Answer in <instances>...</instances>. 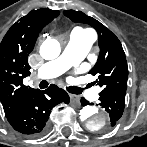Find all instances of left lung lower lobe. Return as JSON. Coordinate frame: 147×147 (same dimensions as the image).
<instances>
[{
    "label": "left lung lower lobe",
    "instance_id": "1",
    "mask_svg": "<svg viewBox=\"0 0 147 147\" xmlns=\"http://www.w3.org/2000/svg\"><path fill=\"white\" fill-rule=\"evenodd\" d=\"M125 95L126 91L123 90H113L100 95L99 105L104 108L110 116L108 127L115 126L121 118L125 107ZM81 104L88 105L89 102L82 98Z\"/></svg>",
    "mask_w": 147,
    "mask_h": 147
}]
</instances>
